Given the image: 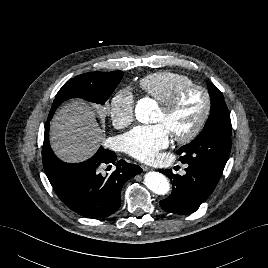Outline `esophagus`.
<instances>
[{
	"mask_svg": "<svg viewBox=\"0 0 268 268\" xmlns=\"http://www.w3.org/2000/svg\"><path fill=\"white\" fill-rule=\"evenodd\" d=\"M141 167H142L143 171H149V170H152L151 167L146 166V165H142Z\"/></svg>",
	"mask_w": 268,
	"mask_h": 268,
	"instance_id": "34e87169",
	"label": "esophagus"
}]
</instances>
